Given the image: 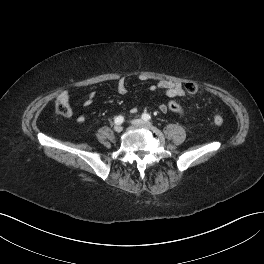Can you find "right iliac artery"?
<instances>
[{"label": "right iliac artery", "mask_w": 264, "mask_h": 264, "mask_svg": "<svg viewBox=\"0 0 264 264\" xmlns=\"http://www.w3.org/2000/svg\"><path fill=\"white\" fill-rule=\"evenodd\" d=\"M114 121H115V124L120 125L123 123L124 117L123 116H117Z\"/></svg>", "instance_id": "82829eb1"}]
</instances>
